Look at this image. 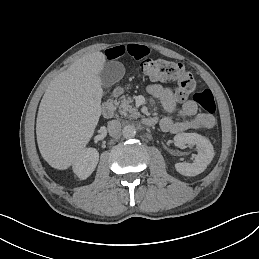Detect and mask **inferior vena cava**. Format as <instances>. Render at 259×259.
<instances>
[{
    "instance_id": "602c4592",
    "label": "inferior vena cava",
    "mask_w": 259,
    "mask_h": 259,
    "mask_svg": "<svg viewBox=\"0 0 259 259\" xmlns=\"http://www.w3.org/2000/svg\"><path fill=\"white\" fill-rule=\"evenodd\" d=\"M109 135L112 137H119L121 134V123L118 120H110L107 123Z\"/></svg>"
}]
</instances>
